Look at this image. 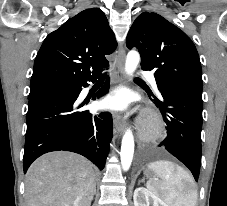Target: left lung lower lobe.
I'll list each match as a JSON object with an SVG mask.
<instances>
[{"mask_svg": "<svg viewBox=\"0 0 227 206\" xmlns=\"http://www.w3.org/2000/svg\"><path fill=\"white\" fill-rule=\"evenodd\" d=\"M155 99L166 123L167 138L159 146L183 162L198 180L201 164L202 92L179 86L159 87Z\"/></svg>", "mask_w": 227, "mask_h": 206, "instance_id": "0a47b994", "label": "left lung lower lobe"}]
</instances>
